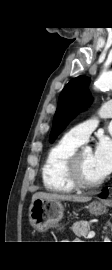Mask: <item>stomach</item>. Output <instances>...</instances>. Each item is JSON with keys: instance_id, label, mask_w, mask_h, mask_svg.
Returning <instances> with one entry per match:
<instances>
[{"instance_id": "obj_1", "label": "stomach", "mask_w": 112, "mask_h": 270, "mask_svg": "<svg viewBox=\"0 0 112 270\" xmlns=\"http://www.w3.org/2000/svg\"><path fill=\"white\" fill-rule=\"evenodd\" d=\"M88 209L94 215H101L106 211L105 205L100 201H93ZM63 211L64 207L60 200L38 198L32 201L29 207V222L34 229L41 232L59 227Z\"/></svg>"}]
</instances>
